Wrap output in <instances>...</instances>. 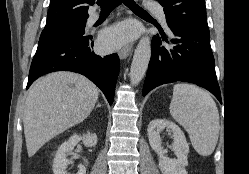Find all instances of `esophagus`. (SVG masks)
<instances>
[{"label":"esophagus","mask_w":249,"mask_h":174,"mask_svg":"<svg viewBox=\"0 0 249 174\" xmlns=\"http://www.w3.org/2000/svg\"><path fill=\"white\" fill-rule=\"evenodd\" d=\"M132 49V44H127L126 46H124L120 51H119V57L121 59H125L131 52Z\"/></svg>","instance_id":"obj_1"}]
</instances>
